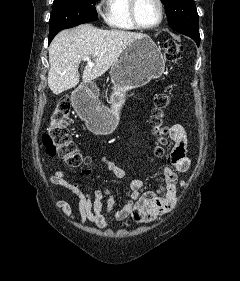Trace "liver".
<instances>
[{"instance_id": "6515ba94", "label": "liver", "mask_w": 240, "mask_h": 281, "mask_svg": "<svg viewBox=\"0 0 240 281\" xmlns=\"http://www.w3.org/2000/svg\"><path fill=\"white\" fill-rule=\"evenodd\" d=\"M143 36L124 30L98 29L90 24L59 32L49 47V88L58 95L78 85L79 65L86 56L93 59V66H85L83 83L101 77L129 44Z\"/></svg>"}]
</instances>
